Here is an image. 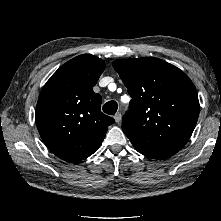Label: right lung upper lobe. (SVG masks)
Listing matches in <instances>:
<instances>
[{"label":"right lung upper lobe","instance_id":"cb5924a9","mask_svg":"<svg viewBox=\"0 0 221 221\" xmlns=\"http://www.w3.org/2000/svg\"><path fill=\"white\" fill-rule=\"evenodd\" d=\"M104 68L96 56H77L62 65L40 93L38 131L49 150L64 161L77 162L92 155L114 123L101 112V96L93 92Z\"/></svg>","mask_w":221,"mask_h":221}]
</instances>
